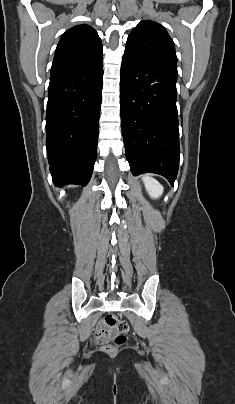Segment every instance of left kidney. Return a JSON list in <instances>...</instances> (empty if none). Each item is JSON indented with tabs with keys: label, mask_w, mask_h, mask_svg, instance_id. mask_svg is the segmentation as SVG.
I'll list each match as a JSON object with an SVG mask.
<instances>
[{
	"label": "left kidney",
	"mask_w": 235,
	"mask_h": 404,
	"mask_svg": "<svg viewBox=\"0 0 235 404\" xmlns=\"http://www.w3.org/2000/svg\"><path fill=\"white\" fill-rule=\"evenodd\" d=\"M142 180L151 198L156 199L162 195L163 186L158 181L150 177H143Z\"/></svg>",
	"instance_id": "obj_1"
}]
</instances>
